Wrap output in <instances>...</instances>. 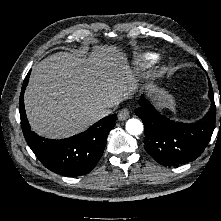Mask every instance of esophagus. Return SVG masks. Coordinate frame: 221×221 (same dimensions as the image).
Returning <instances> with one entry per match:
<instances>
[{
    "label": "esophagus",
    "mask_w": 221,
    "mask_h": 221,
    "mask_svg": "<svg viewBox=\"0 0 221 221\" xmlns=\"http://www.w3.org/2000/svg\"><path fill=\"white\" fill-rule=\"evenodd\" d=\"M129 116H130L129 111H128L127 109H123V110H121V111L119 112V114H118V119H119L120 121H124V120L128 119Z\"/></svg>",
    "instance_id": "34e87169"
}]
</instances>
